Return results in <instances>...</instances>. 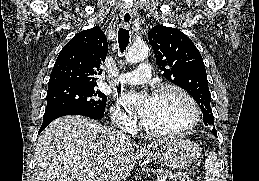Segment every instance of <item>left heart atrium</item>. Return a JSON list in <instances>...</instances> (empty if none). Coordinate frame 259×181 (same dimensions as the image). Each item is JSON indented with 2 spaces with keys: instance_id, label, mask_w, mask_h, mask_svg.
<instances>
[{
  "instance_id": "left-heart-atrium-1",
  "label": "left heart atrium",
  "mask_w": 259,
  "mask_h": 181,
  "mask_svg": "<svg viewBox=\"0 0 259 181\" xmlns=\"http://www.w3.org/2000/svg\"><path fill=\"white\" fill-rule=\"evenodd\" d=\"M152 100L153 97L149 94L139 95L133 91L125 92L119 98V102L123 106L133 108L142 118L149 112Z\"/></svg>"
}]
</instances>
